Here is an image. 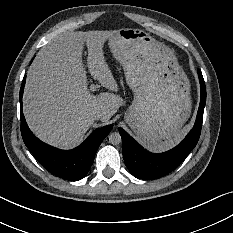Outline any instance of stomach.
Wrapping results in <instances>:
<instances>
[{
  "label": "stomach",
  "mask_w": 233,
  "mask_h": 233,
  "mask_svg": "<svg viewBox=\"0 0 233 233\" xmlns=\"http://www.w3.org/2000/svg\"><path fill=\"white\" fill-rule=\"evenodd\" d=\"M107 46L134 93L125 122L150 148L169 143L192 110L191 84L175 53L138 28L116 30Z\"/></svg>",
  "instance_id": "0dacf381"
}]
</instances>
